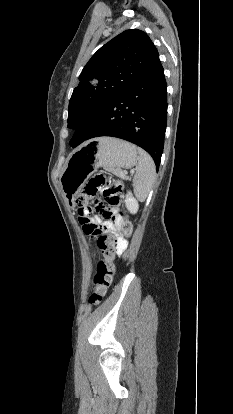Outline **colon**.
Returning <instances> with one entry per match:
<instances>
[{
  "label": "colon",
  "instance_id": "5ec220e1",
  "mask_svg": "<svg viewBox=\"0 0 233 414\" xmlns=\"http://www.w3.org/2000/svg\"><path fill=\"white\" fill-rule=\"evenodd\" d=\"M122 188L123 185L119 179L105 173H97L91 177L85 185L81 196L76 200V204L79 207V219L83 229L88 235L96 237L98 247L104 256V260L98 263L93 278L94 289L90 295L91 304H98L113 283L115 275L113 259L116 251L119 250V245L117 238L110 234H100L97 227L88 223L89 212L85 209V203L88 198L100 193L103 201H98L97 208L105 217H109L110 207L118 204ZM120 215L123 220V234L128 238L132 234V223L123 212Z\"/></svg>",
  "mask_w": 233,
  "mask_h": 414
}]
</instances>
